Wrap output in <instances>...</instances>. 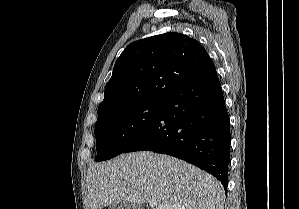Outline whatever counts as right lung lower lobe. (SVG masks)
Wrapping results in <instances>:
<instances>
[{
    "label": "right lung lower lobe",
    "mask_w": 299,
    "mask_h": 209,
    "mask_svg": "<svg viewBox=\"0 0 299 209\" xmlns=\"http://www.w3.org/2000/svg\"><path fill=\"white\" fill-rule=\"evenodd\" d=\"M230 122L216 69L187 79L151 126L124 151L150 150L183 159L228 185Z\"/></svg>",
    "instance_id": "obj_1"
}]
</instances>
